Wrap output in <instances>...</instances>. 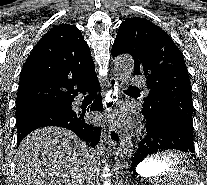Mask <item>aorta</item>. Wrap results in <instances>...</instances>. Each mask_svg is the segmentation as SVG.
Segmentation results:
<instances>
[{
    "instance_id": "762f6f07",
    "label": "aorta",
    "mask_w": 207,
    "mask_h": 185,
    "mask_svg": "<svg viewBox=\"0 0 207 185\" xmlns=\"http://www.w3.org/2000/svg\"><path fill=\"white\" fill-rule=\"evenodd\" d=\"M114 70L121 84L128 81L134 70V60L130 55H120L114 61ZM133 157L131 135L127 134L119 143L114 162V185H127L130 163Z\"/></svg>"
}]
</instances>
